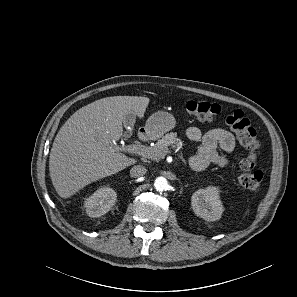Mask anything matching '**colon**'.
<instances>
[{
    "label": "colon",
    "mask_w": 297,
    "mask_h": 297,
    "mask_svg": "<svg viewBox=\"0 0 297 297\" xmlns=\"http://www.w3.org/2000/svg\"><path fill=\"white\" fill-rule=\"evenodd\" d=\"M185 109L202 121H211L221 112L218 104L200 100H189L185 104ZM226 123L247 151V155L239 162L238 182L244 188L255 191L263 177L260 171H253L258 149L256 130L245 113L239 109L232 110L227 115Z\"/></svg>",
    "instance_id": "colon-1"
}]
</instances>
